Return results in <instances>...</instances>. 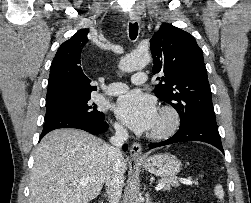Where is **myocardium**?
Listing matches in <instances>:
<instances>
[{
	"instance_id": "f54148a6",
	"label": "myocardium",
	"mask_w": 251,
	"mask_h": 203,
	"mask_svg": "<svg viewBox=\"0 0 251 203\" xmlns=\"http://www.w3.org/2000/svg\"><path fill=\"white\" fill-rule=\"evenodd\" d=\"M158 117L164 120L161 127L153 128L150 133L152 139H166L172 136L179 128L180 115L171 106H164L160 109Z\"/></svg>"
}]
</instances>
